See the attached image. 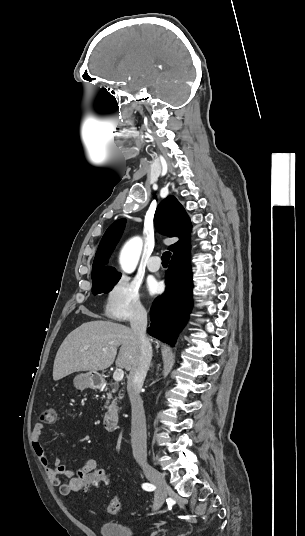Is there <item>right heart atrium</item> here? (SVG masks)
Masks as SVG:
<instances>
[{
  "instance_id": "obj_1",
  "label": "right heart atrium",
  "mask_w": 305,
  "mask_h": 536,
  "mask_svg": "<svg viewBox=\"0 0 305 536\" xmlns=\"http://www.w3.org/2000/svg\"><path fill=\"white\" fill-rule=\"evenodd\" d=\"M107 316L118 321H129L146 313L140 285L126 275L119 276L111 285L104 299Z\"/></svg>"
}]
</instances>
